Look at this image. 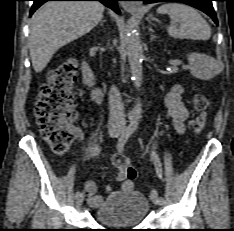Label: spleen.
I'll return each instance as SVG.
<instances>
[{
	"label": "spleen",
	"instance_id": "spleen-1",
	"mask_svg": "<svg viewBox=\"0 0 234 231\" xmlns=\"http://www.w3.org/2000/svg\"><path fill=\"white\" fill-rule=\"evenodd\" d=\"M159 14H168L171 26L168 34L174 38L208 40L211 29L206 20L192 7L181 3H165L158 8Z\"/></svg>",
	"mask_w": 234,
	"mask_h": 231
}]
</instances>
